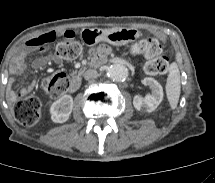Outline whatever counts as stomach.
I'll use <instances>...</instances> for the list:
<instances>
[{
    "label": "stomach",
    "mask_w": 215,
    "mask_h": 183,
    "mask_svg": "<svg viewBox=\"0 0 215 183\" xmlns=\"http://www.w3.org/2000/svg\"><path fill=\"white\" fill-rule=\"evenodd\" d=\"M93 43L100 41L108 42L111 45L122 46L137 40L141 33L136 28L112 27L108 29H99L96 32Z\"/></svg>",
    "instance_id": "1"
}]
</instances>
